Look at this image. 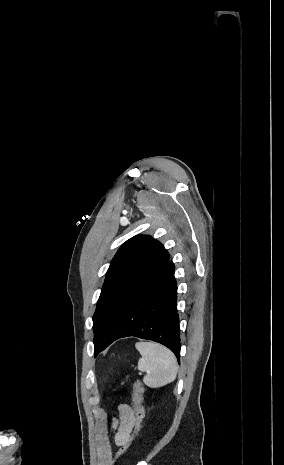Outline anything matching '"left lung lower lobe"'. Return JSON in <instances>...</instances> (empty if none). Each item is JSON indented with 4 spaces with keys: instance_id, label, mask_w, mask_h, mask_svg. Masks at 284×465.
Segmentation results:
<instances>
[{
    "instance_id": "1",
    "label": "left lung lower lobe",
    "mask_w": 284,
    "mask_h": 465,
    "mask_svg": "<svg viewBox=\"0 0 284 465\" xmlns=\"http://www.w3.org/2000/svg\"><path fill=\"white\" fill-rule=\"evenodd\" d=\"M174 264L168 261L159 273L121 310L106 335L102 350L117 339L136 336L168 347L180 362L177 283Z\"/></svg>"
}]
</instances>
